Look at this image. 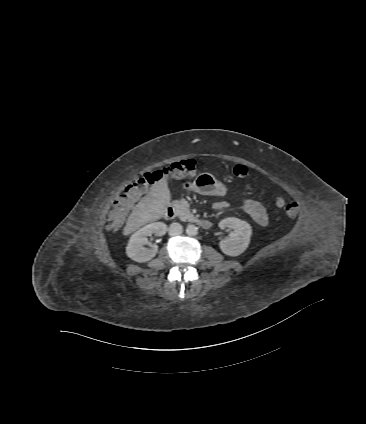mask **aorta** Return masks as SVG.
<instances>
[{"mask_svg": "<svg viewBox=\"0 0 366 424\" xmlns=\"http://www.w3.org/2000/svg\"><path fill=\"white\" fill-rule=\"evenodd\" d=\"M186 234L188 236H196L198 234V228L190 224L186 227Z\"/></svg>", "mask_w": 366, "mask_h": 424, "instance_id": "aorta-1", "label": "aorta"}]
</instances>
